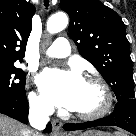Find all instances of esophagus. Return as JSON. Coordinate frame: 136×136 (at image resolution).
<instances>
[{
  "label": "esophagus",
  "instance_id": "obj_1",
  "mask_svg": "<svg viewBox=\"0 0 136 136\" xmlns=\"http://www.w3.org/2000/svg\"><path fill=\"white\" fill-rule=\"evenodd\" d=\"M52 126H53L54 132H59L62 128V122L58 119H53Z\"/></svg>",
  "mask_w": 136,
  "mask_h": 136
}]
</instances>
